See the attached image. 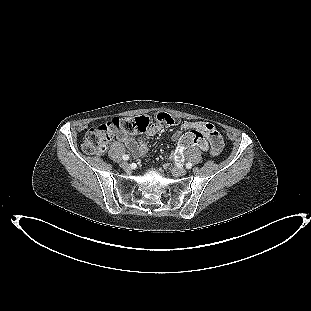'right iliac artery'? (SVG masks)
Returning <instances> with one entry per match:
<instances>
[{"instance_id":"right-iliac-artery-1","label":"right iliac artery","mask_w":311,"mask_h":311,"mask_svg":"<svg viewBox=\"0 0 311 311\" xmlns=\"http://www.w3.org/2000/svg\"><path fill=\"white\" fill-rule=\"evenodd\" d=\"M123 160H128L129 159V156L128 155H123Z\"/></svg>"}]
</instances>
